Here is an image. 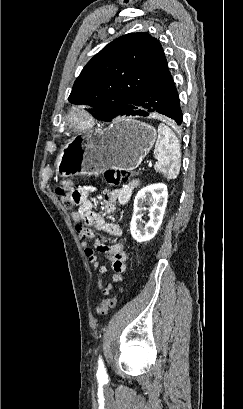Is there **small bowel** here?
Instances as JSON below:
<instances>
[{"label":"small bowel","mask_w":243,"mask_h":409,"mask_svg":"<svg viewBox=\"0 0 243 409\" xmlns=\"http://www.w3.org/2000/svg\"><path fill=\"white\" fill-rule=\"evenodd\" d=\"M139 186V181L134 179L119 188L106 193L103 197V207L107 214L116 211L117 204H126L133 190ZM94 191L92 186H81L76 189L79 196V207L72 213V220L76 224V231L83 242L85 255L97 272V288L105 296L112 291L114 284L123 280V273L126 271V252L121 244L105 245L100 240L95 239L93 231L89 227L104 231L110 235L121 238L123 232L119 225L106 222L98 213L93 210V203L90 194ZM94 240L93 246L89 243ZM97 253L107 255L111 261L113 270V283L103 284L102 277L107 273L106 266L100 264Z\"/></svg>","instance_id":"c3829d8e"}]
</instances>
